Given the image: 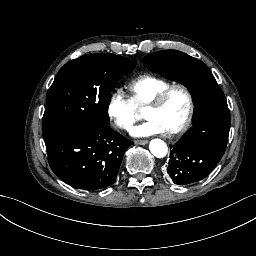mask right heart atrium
I'll use <instances>...</instances> for the list:
<instances>
[{
  "instance_id": "d8ad5b80",
  "label": "right heart atrium",
  "mask_w": 256,
  "mask_h": 256,
  "mask_svg": "<svg viewBox=\"0 0 256 256\" xmlns=\"http://www.w3.org/2000/svg\"><path fill=\"white\" fill-rule=\"evenodd\" d=\"M134 119L135 120H139V119H141V113L140 112H134Z\"/></svg>"
}]
</instances>
